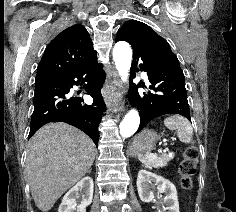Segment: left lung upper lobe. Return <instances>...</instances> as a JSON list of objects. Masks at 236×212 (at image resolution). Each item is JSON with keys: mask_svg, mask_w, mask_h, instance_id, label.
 Wrapping results in <instances>:
<instances>
[{"mask_svg": "<svg viewBox=\"0 0 236 212\" xmlns=\"http://www.w3.org/2000/svg\"><path fill=\"white\" fill-rule=\"evenodd\" d=\"M116 39H124L131 44L134 52L173 54L168 42L148 25L130 20L123 24Z\"/></svg>", "mask_w": 236, "mask_h": 212, "instance_id": "5c2ea615", "label": "left lung upper lobe"}]
</instances>
